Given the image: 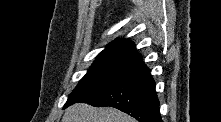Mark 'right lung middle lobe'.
<instances>
[{"mask_svg":"<svg viewBox=\"0 0 221 122\" xmlns=\"http://www.w3.org/2000/svg\"><path fill=\"white\" fill-rule=\"evenodd\" d=\"M126 59H98L70 94L67 106L99 93L126 77L138 64Z\"/></svg>","mask_w":221,"mask_h":122,"instance_id":"1","label":"right lung middle lobe"}]
</instances>
